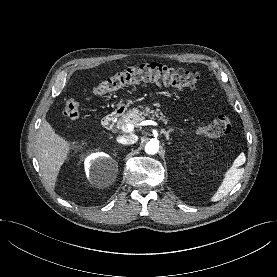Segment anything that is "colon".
<instances>
[{
    "mask_svg": "<svg viewBox=\"0 0 277 277\" xmlns=\"http://www.w3.org/2000/svg\"><path fill=\"white\" fill-rule=\"evenodd\" d=\"M141 82H153L177 88H197L199 75L196 72L152 63L118 73L93 87L92 92L95 95H102ZM63 113L69 119L78 118L80 114L78 100L69 98L64 105ZM231 125L230 117L227 114H220L211 122L201 125L198 133L201 136L216 138L227 134L231 130Z\"/></svg>",
    "mask_w": 277,
    "mask_h": 277,
    "instance_id": "colon-1",
    "label": "colon"
}]
</instances>
